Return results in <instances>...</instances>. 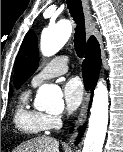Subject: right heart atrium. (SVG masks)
Masks as SVG:
<instances>
[{
    "label": "right heart atrium",
    "instance_id": "obj_1",
    "mask_svg": "<svg viewBox=\"0 0 123 152\" xmlns=\"http://www.w3.org/2000/svg\"><path fill=\"white\" fill-rule=\"evenodd\" d=\"M61 123V116L58 114L47 115L46 117V125L47 129L57 128Z\"/></svg>",
    "mask_w": 123,
    "mask_h": 152
}]
</instances>
